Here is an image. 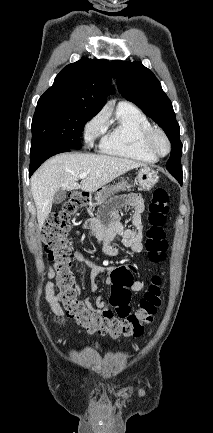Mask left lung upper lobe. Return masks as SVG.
<instances>
[{
	"mask_svg": "<svg viewBox=\"0 0 213 433\" xmlns=\"http://www.w3.org/2000/svg\"><path fill=\"white\" fill-rule=\"evenodd\" d=\"M111 68L120 94L135 103L168 136L173 149L166 169L177 180L183 179L180 127L176 121L171 101L162 90L159 80L141 62L115 60L111 62Z\"/></svg>",
	"mask_w": 213,
	"mask_h": 433,
	"instance_id": "obj_1",
	"label": "left lung upper lobe"
}]
</instances>
